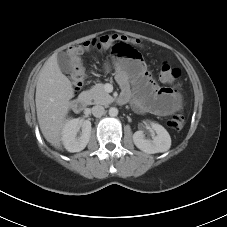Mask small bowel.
<instances>
[{
    "label": "small bowel",
    "instance_id": "small-bowel-1",
    "mask_svg": "<svg viewBox=\"0 0 227 227\" xmlns=\"http://www.w3.org/2000/svg\"><path fill=\"white\" fill-rule=\"evenodd\" d=\"M116 80L122 90L120 102L132 100L139 112H153L167 116L180 106L179 94L173 89L158 87L151 80L143 62L139 59L119 64Z\"/></svg>",
    "mask_w": 227,
    "mask_h": 227
}]
</instances>
